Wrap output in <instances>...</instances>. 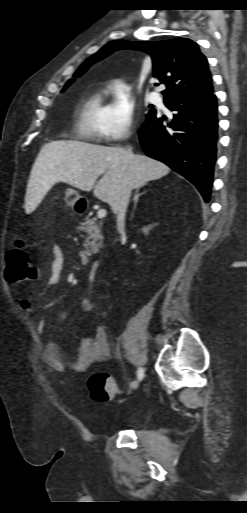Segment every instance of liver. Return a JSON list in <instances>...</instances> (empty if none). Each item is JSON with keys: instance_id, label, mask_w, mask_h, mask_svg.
<instances>
[{"instance_id": "liver-1", "label": "liver", "mask_w": 247, "mask_h": 513, "mask_svg": "<svg viewBox=\"0 0 247 513\" xmlns=\"http://www.w3.org/2000/svg\"><path fill=\"white\" fill-rule=\"evenodd\" d=\"M164 163L144 155H134L121 147H106L75 140L45 144L28 181L25 210L30 213L57 182L82 191L93 189L94 196L110 206L125 183L138 189L168 174ZM99 176H102L96 183Z\"/></svg>"}]
</instances>
